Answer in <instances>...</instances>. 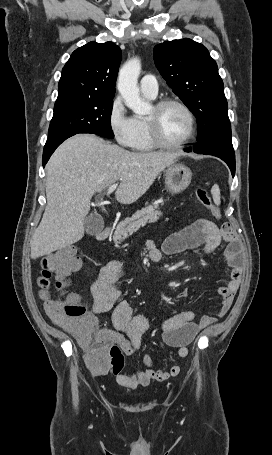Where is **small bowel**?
<instances>
[{"label":"small bowel","instance_id":"obj_1","mask_svg":"<svg viewBox=\"0 0 272 455\" xmlns=\"http://www.w3.org/2000/svg\"><path fill=\"white\" fill-rule=\"evenodd\" d=\"M223 241L227 243L224 256L231 270L228 284L218 288L222 302L217 315L221 317L231 307L243 277L239 246L230 225L225 224L219 228L210 220L198 219L183 229L171 233L164 240L161 249L157 248L152 240L146 241L145 247L153 262L160 261L162 253L174 255L196 248H202V251L197 254V258L202 260L212 254ZM121 270L122 262L118 259L110 261L101 269L99 279L91 287L93 306L92 313L89 315L95 319V314L112 311L114 329H101L97 335L110 344L120 346L122 351L129 355L141 344L143 334L154 326L147 317L135 315L130 303L118 302L121 296V291L118 289ZM188 294V289H183L178 294V298H186ZM194 318V312L184 310L163 320L159 325L163 341L168 346L177 348V354L181 358L187 356L188 345L199 331L216 321L214 317L204 316L197 323ZM144 363L146 368L143 370L113 372L118 383L124 387L136 388L146 386L152 380L165 381L180 372L178 365H173L168 370L156 369L148 355L144 356Z\"/></svg>","mask_w":272,"mask_h":455}]
</instances>
